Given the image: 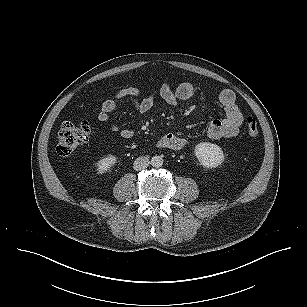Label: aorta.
<instances>
[{"label":"aorta","mask_w":307,"mask_h":307,"mask_svg":"<svg viewBox=\"0 0 307 307\" xmlns=\"http://www.w3.org/2000/svg\"><path fill=\"white\" fill-rule=\"evenodd\" d=\"M163 158L161 157V156H157V155H155V156H153L152 158H151V162H150V164L153 166V167H155V168H159V167H161L162 165H163Z\"/></svg>","instance_id":"aorta-1"}]
</instances>
